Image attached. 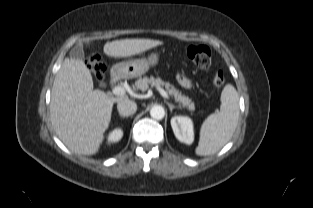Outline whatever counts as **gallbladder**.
Wrapping results in <instances>:
<instances>
[{
	"label": "gallbladder",
	"mask_w": 313,
	"mask_h": 208,
	"mask_svg": "<svg viewBox=\"0 0 313 208\" xmlns=\"http://www.w3.org/2000/svg\"><path fill=\"white\" fill-rule=\"evenodd\" d=\"M70 57L73 60L81 61L83 63L84 51L81 44H77L71 49ZM100 85L103 86L104 84L101 82Z\"/></svg>",
	"instance_id": "bac80fb5"
}]
</instances>
